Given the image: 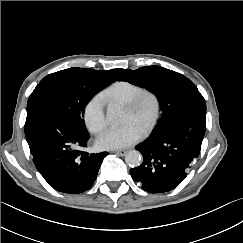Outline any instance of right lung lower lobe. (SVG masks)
I'll list each match as a JSON object with an SVG mask.
<instances>
[{
    "label": "right lung lower lobe",
    "instance_id": "1",
    "mask_svg": "<svg viewBox=\"0 0 243 243\" xmlns=\"http://www.w3.org/2000/svg\"><path fill=\"white\" fill-rule=\"evenodd\" d=\"M33 162L55 190L78 194L90 189L107 152L88 154L89 133L79 131L61 112L45 107L27 108L24 126Z\"/></svg>",
    "mask_w": 243,
    "mask_h": 243
}]
</instances>
